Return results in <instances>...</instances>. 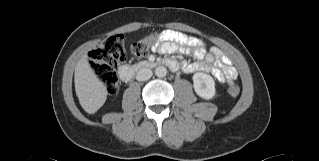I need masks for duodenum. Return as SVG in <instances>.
<instances>
[{"instance_id": "410a0bca", "label": "duodenum", "mask_w": 319, "mask_h": 161, "mask_svg": "<svg viewBox=\"0 0 319 161\" xmlns=\"http://www.w3.org/2000/svg\"><path fill=\"white\" fill-rule=\"evenodd\" d=\"M165 66L168 67L172 72H176L178 70V64L173 59H164L162 61L151 60V61H144L138 64L129 66L123 65L119 68V77L123 82L130 81L134 75L142 70H149L155 67Z\"/></svg>"}]
</instances>
